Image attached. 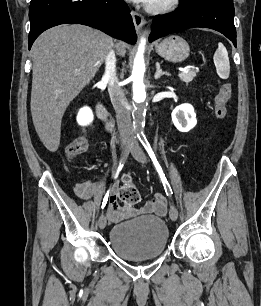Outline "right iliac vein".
<instances>
[{
	"label": "right iliac vein",
	"mask_w": 261,
	"mask_h": 306,
	"mask_svg": "<svg viewBox=\"0 0 261 306\" xmlns=\"http://www.w3.org/2000/svg\"><path fill=\"white\" fill-rule=\"evenodd\" d=\"M125 145H126V141H122L121 142V149H123L125 147ZM106 223H107L106 216L104 214H102L99 217V220H98L99 228L104 229L106 227Z\"/></svg>",
	"instance_id": "63e3f726"
}]
</instances>
